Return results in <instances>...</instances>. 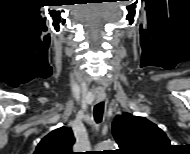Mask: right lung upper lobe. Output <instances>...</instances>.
I'll return each instance as SVG.
<instances>
[{
    "instance_id": "cb5924a9",
    "label": "right lung upper lobe",
    "mask_w": 190,
    "mask_h": 154,
    "mask_svg": "<svg viewBox=\"0 0 190 154\" xmlns=\"http://www.w3.org/2000/svg\"><path fill=\"white\" fill-rule=\"evenodd\" d=\"M74 142L71 128L61 127L45 136L37 145L34 154H73Z\"/></svg>"
}]
</instances>
